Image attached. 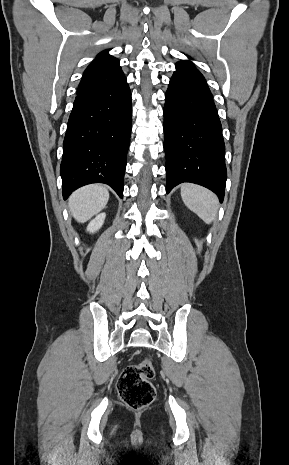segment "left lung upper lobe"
<instances>
[{
  "instance_id": "obj_1",
  "label": "left lung upper lobe",
  "mask_w": 289,
  "mask_h": 465,
  "mask_svg": "<svg viewBox=\"0 0 289 465\" xmlns=\"http://www.w3.org/2000/svg\"><path fill=\"white\" fill-rule=\"evenodd\" d=\"M176 66H181V67H194L193 63L187 60H183L181 62H178Z\"/></svg>"
}]
</instances>
